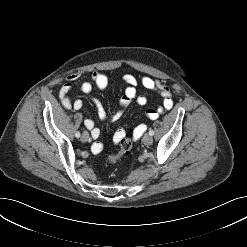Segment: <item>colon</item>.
Wrapping results in <instances>:
<instances>
[{
	"mask_svg": "<svg viewBox=\"0 0 247 247\" xmlns=\"http://www.w3.org/2000/svg\"><path fill=\"white\" fill-rule=\"evenodd\" d=\"M116 139L120 143V149L117 153L107 156L106 161L110 164H114L122 157L129 155L132 149V141L129 138H125V136L118 133Z\"/></svg>",
	"mask_w": 247,
	"mask_h": 247,
	"instance_id": "colon-1",
	"label": "colon"
}]
</instances>
